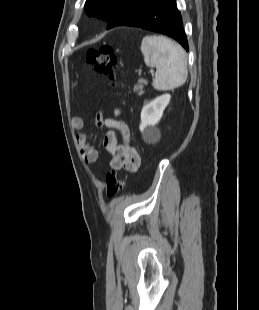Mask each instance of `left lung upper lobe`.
Segmentation results:
<instances>
[{
  "label": "left lung upper lobe",
  "mask_w": 259,
  "mask_h": 310,
  "mask_svg": "<svg viewBox=\"0 0 259 310\" xmlns=\"http://www.w3.org/2000/svg\"><path fill=\"white\" fill-rule=\"evenodd\" d=\"M149 0H86L84 11L88 16L106 20L107 29L114 27L131 9Z\"/></svg>",
  "instance_id": "1"
}]
</instances>
